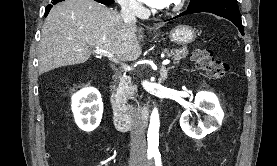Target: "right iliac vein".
<instances>
[{
  "mask_svg": "<svg viewBox=\"0 0 277 166\" xmlns=\"http://www.w3.org/2000/svg\"><path fill=\"white\" fill-rule=\"evenodd\" d=\"M129 166H143V164L141 162L134 161V162H131Z\"/></svg>",
  "mask_w": 277,
  "mask_h": 166,
  "instance_id": "63e3f726",
  "label": "right iliac vein"
}]
</instances>
